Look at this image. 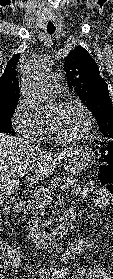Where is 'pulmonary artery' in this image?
I'll return each instance as SVG.
<instances>
[{"label": "pulmonary artery", "instance_id": "pulmonary-artery-1", "mask_svg": "<svg viewBox=\"0 0 113 279\" xmlns=\"http://www.w3.org/2000/svg\"><path fill=\"white\" fill-rule=\"evenodd\" d=\"M45 88L47 92L52 96H57L61 93V86L59 83L58 76L56 74L48 76L45 83Z\"/></svg>", "mask_w": 113, "mask_h": 279}]
</instances>
